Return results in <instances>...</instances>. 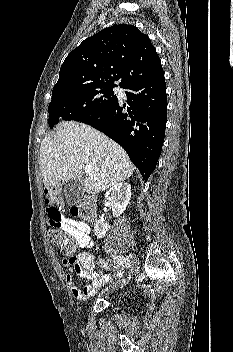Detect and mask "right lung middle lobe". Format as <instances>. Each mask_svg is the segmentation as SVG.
I'll list each match as a JSON object with an SVG mask.
<instances>
[{
    "instance_id": "1",
    "label": "right lung middle lobe",
    "mask_w": 233,
    "mask_h": 352,
    "mask_svg": "<svg viewBox=\"0 0 233 352\" xmlns=\"http://www.w3.org/2000/svg\"><path fill=\"white\" fill-rule=\"evenodd\" d=\"M115 85L84 86L52 92L49 104V126L52 129L62 120H79L91 116L118 99L113 93Z\"/></svg>"
}]
</instances>
